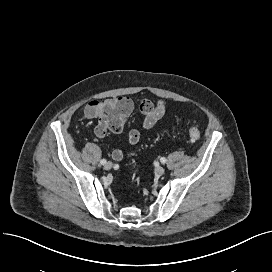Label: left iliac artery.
<instances>
[{"mask_svg":"<svg viewBox=\"0 0 272 272\" xmlns=\"http://www.w3.org/2000/svg\"><path fill=\"white\" fill-rule=\"evenodd\" d=\"M160 161H161V163H166V158H164V157H162L161 159H160Z\"/></svg>","mask_w":272,"mask_h":272,"instance_id":"obj_1","label":"left iliac artery"}]
</instances>
